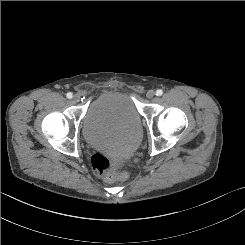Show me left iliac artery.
<instances>
[{
    "mask_svg": "<svg viewBox=\"0 0 245 245\" xmlns=\"http://www.w3.org/2000/svg\"><path fill=\"white\" fill-rule=\"evenodd\" d=\"M163 94V91L161 90V89H158L157 91H156V95L157 96H161Z\"/></svg>",
    "mask_w": 245,
    "mask_h": 245,
    "instance_id": "44dca946",
    "label": "left iliac artery"
}]
</instances>
